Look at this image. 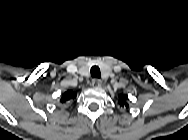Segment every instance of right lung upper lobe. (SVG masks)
Instances as JSON below:
<instances>
[{"mask_svg":"<svg viewBox=\"0 0 188 140\" xmlns=\"http://www.w3.org/2000/svg\"><path fill=\"white\" fill-rule=\"evenodd\" d=\"M74 98H76V92L72 91V90H68L65 93L62 94V97L60 99V102L62 104L73 100Z\"/></svg>","mask_w":188,"mask_h":140,"instance_id":"cb5924a9","label":"right lung upper lobe"}]
</instances>
